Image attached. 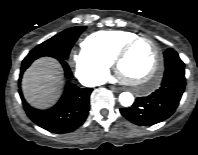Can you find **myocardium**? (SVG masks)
Wrapping results in <instances>:
<instances>
[{
	"label": "myocardium",
	"instance_id": "1",
	"mask_svg": "<svg viewBox=\"0 0 198 155\" xmlns=\"http://www.w3.org/2000/svg\"><path fill=\"white\" fill-rule=\"evenodd\" d=\"M140 41H147L152 44L155 50V62L154 66L149 73L148 77L141 83H136L125 79L121 76L119 66L121 61L127 56L129 51ZM113 65L116 71V74L121 78L123 83L133 87L137 92L140 93H148L154 90L160 82L161 79V71L163 66V54L159 44L151 37L148 36H136L130 40H128L125 44H123L116 54L113 57ZM145 86V87H143Z\"/></svg>",
	"mask_w": 198,
	"mask_h": 155
}]
</instances>
